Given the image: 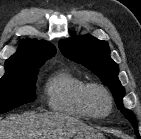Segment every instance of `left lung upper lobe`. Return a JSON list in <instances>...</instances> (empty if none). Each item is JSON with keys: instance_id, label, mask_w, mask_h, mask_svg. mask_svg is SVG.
I'll return each instance as SVG.
<instances>
[{"instance_id": "left-lung-upper-lobe-1", "label": "left lung upper lobe", "mask_w": 141, "mask_h": 139, "mask_svg": "<svg viewBox=\"0 0 141 139\" xmlns=\"http://www.w3.org/2000/svg\"><path fill=\"white\" fill-rule=\"evenodd\" d=\"M59 48L64 56L90 69L109 87L118 109L131 122L136 135L140 137L133 113L123 106L125 89L118 79V65L110 58L108 43L85 35L61 40L59 41Z\"/></svg>"}]
</instances>
